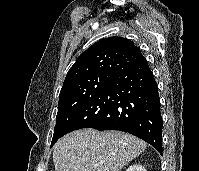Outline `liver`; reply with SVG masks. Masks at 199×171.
Masks as SVG:
<instances>
[{"instance_id": "6515ba94", "label": "liver", "mask_w": 199, "mask_h": 171, "mask_svg": "<svg viewBox=\"0 0 199 171\" xmlns=\"http://www.w3.org/2000/svg\"><path fill=\"white\" fill-rule=\"evenodd\" d=\"M145 148L146 143L131 134L85 128L58 140L53 162L55 171H120Z\"/></svg>"}]
</instances>
